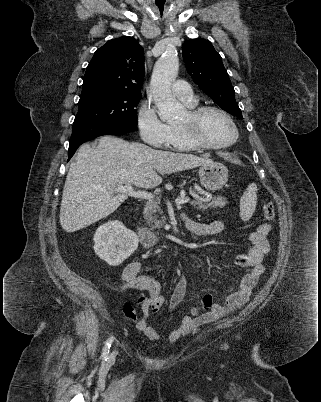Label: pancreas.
<instances>
[{
  "instance_id": "cf45deb5",
  "label": "pancreas",
  "mask_w": 321,
  "mask_h": 402,
  "mask_svg": "<svg viewBox=\"0 0 321 402\" xmlns=\"http://www.w3.org/2000/svg\"><path fill=\"white\" fill-rule=\"evenodd\" d=\"M226 204V198L221 196L214 198L211 202L200 197H195V199L191 201L192 206L203 211L207 210L208 208L223 207ZM143 214L146 223L150 226L151 229H160L165 223V217H159L163 214V210L160 207L159 200H149L144 207Z\"/></svg>"
}]
</instances>
